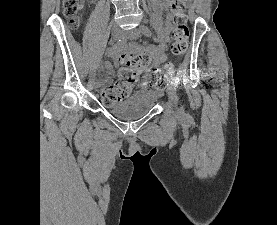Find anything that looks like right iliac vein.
Returning <instances> with one entry per match:
<instances>
[{"instance_id": "63e3f726", "label": "right iliac vein", "mask_w": 277, "mask_h": 225, "mask_svg": "<svg viewBox=\"0 0 277 225\" xmlns=\"http://www.w3.org/2000/svg\"><path fill=\"white\" fill-rule=\"evenodd\" d=\"M123 36H124V33H123V31L120 28H113L112 29V38L114 40H118L120 38H123ZM93 87L97 91L98 88H99V83L95 82Z\"/></svg>"}]
</instances>
